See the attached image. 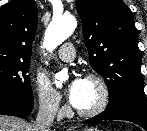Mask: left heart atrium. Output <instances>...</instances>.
<instances>
[{
  "label": "left heart atrium",
  "instance_id": "obj_1",
  "mask_svg": "<svg viewBox=\"0 0 147 131\" xmlns=\"http://www.w3.org/2000/svg\"><path fill=\"white\" fill-rule=\"evenodd\" d=\"M86 79L81 77H74L67 87V97L69 102L76 108L81 104L83 94L85 91Z\"/></svg>",
  "mask_w": 147,
  "mask_h": 131
}]
</instances>
